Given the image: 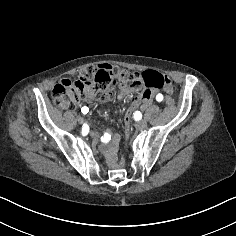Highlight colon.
<instances>
[{
  "label": "colon",
  "mask_w": 236,
  "mask_h": 236,
  "mask_svg": "<svg viewBox=\"0 0 236 236\" xmlns=\"http://www.w3.org/2000/svg\"><path fill=\"white\" fill-rule=\"evenodd\" d=\"M143 84L145 89L132 99L125 112V132L129 135V123L135 108L145 99L151 90L170 88L169 78L159 72L148 70L141 74L122 70L109 64L87 65L81 68L76 80L65 79L55 85L52 91L53 103L64 110H71L91 94L109 92L115 84ZM173 104L171 98L167 99Z\"/></svg>",
  "instance_id": "5ec220e1"
}]
</instances>
